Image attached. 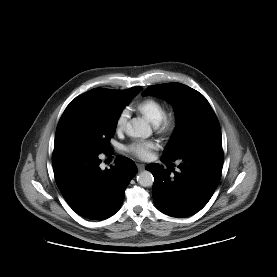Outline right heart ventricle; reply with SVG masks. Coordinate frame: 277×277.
I'll list each match as a JSON object with an SVG mask.
<instances>
[{
  "instance_id": "e07e8e85",
  "label": "right heart ventricle",
  "mask_w": 277,
  "mask_h": 277,
  "mask_svg": "<svg viewBox=\"0 0 277 277\" xmlns=\"http://www.w3.org/2000/svg\"><path fill=\"white\" fill-rule=\"evenodd\" d=\"M135 109L152 124L158 123L166 112L164 104L151 97L139 101Z\"/></svg>"
}]
</instances>
